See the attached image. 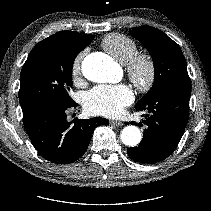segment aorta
<instances>
[{
  "mask_svg": "<svg viewBox=\"0 0 211 211\" xmlns=\"http://www.w3.org/2000/svg\"><path fill=\"white\" fill-rule=\"evenodd\" d=\"M116 66L107 55L92 54L82 62L83 75L93 82H111L116 78ZM121 140L127 145L134 147L141 140L140 130L136 126H127L121 132Z\"/></svg>",
  "mask_w": 211,
  "mask_h": 211,
  "instance_id": "aorta-1",
  "label": "aorta"
}]
</instances>
